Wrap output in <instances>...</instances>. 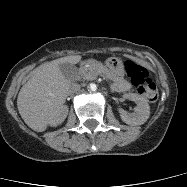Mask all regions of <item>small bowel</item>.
<instances>
[{
	"label": "small bowel",
	"instance_id": "1",
	"mask_svg": "<svg viewBox=\"0 0 187 187\" xmlns=\"http://www.w3.org/2000/svg\"><path fill=\"white\" fill-rule=\"evenodd\" d=\"M114 88L118 91H126L130 88V84L124 80L117 81Z\"/></svg>",
	"mask_w": 187,
	"mask_h": 187
}]
</instances>
